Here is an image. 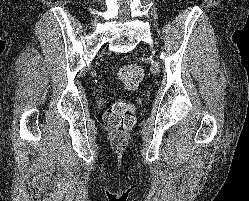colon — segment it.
<instances>
[{"mask_svg": "<svg viewBox=\"0 0 249 201\" xmlns=\"http://www.w3.org/2000/svg\"><path fill=\"white\" fill-rule=\"evenodd\" d=\"M142 69L135 64L122 67L116 79L126 89H135L143 79ZM135 122L134 106L126 101H118L112 104L104 115L106 128L113 133H124L129 131Z\"/></svg>", "mask_w": 249, "mask_h": 201, "instance_id": "colon-1", "label": "colon"}]
</instances>
